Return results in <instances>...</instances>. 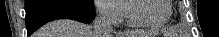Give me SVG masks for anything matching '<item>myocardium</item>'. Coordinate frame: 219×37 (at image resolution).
Here are the masks:
<instances>
[{
    "mask_svg": "<svg viewBox=\"0 0 219 37\" xmlns=\"http://www.w3.org/2000/svg\"><path fill=\"white\" fill-rule=\"evenodd\" d=\"M143 0H130L128 2V11H129V17L131 22L135 25V26H139V27H149V28H159L164 26L171 18L172 13H173V8H172V2L170 0H164L165 4L168 6V15L165 19L161 20V21H147L144 20L142 18H140L135 11V4L137 2H141Z\"/></svg>",
    "mask_w": 219,
    "mask_h": 37,
    "instance_id": "obj_1",
    "label": "myocardium"
}]
</instances>
